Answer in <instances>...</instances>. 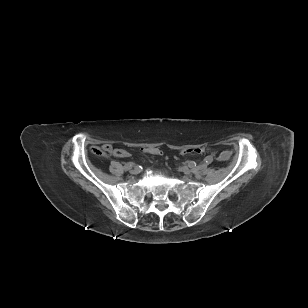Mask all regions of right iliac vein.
I'll return each instance as SVG.
<instances>
[{
  "mask_svg": "<svg viewBox=\"0 0 308 308\" xmlns=\"http://www.w3.org/2000/svg\"><path fill=\"white\" fill-rule=\"evenodd\" d=\"M130 173L136 175L139 173V170L137 168H133L130 170Z\"/></svg>",
  "mask_w": 308,
  "mask_h": 308,
  "instance_id": "right-iliac-vein-1",
  "label": "right iliac vein"
}]
</instances>
